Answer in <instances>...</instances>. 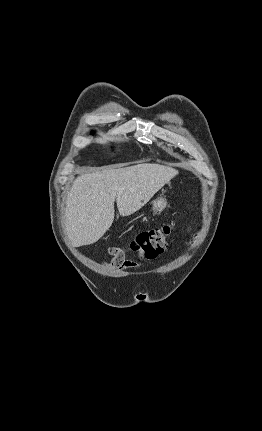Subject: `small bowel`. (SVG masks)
I'll list each match as a JSON object with an SVG mask.
<instances>
[{"mask_svg": "<svg viewBox=\"0 0 262 431\" xmlns=\"http://www.w3.org/2000/svg\"><path fill=\"white\" fill-rule=\"evenodd\" d=\"M187 232L190 233L191 232V228H189L187 230ZM106 265L111 266V267H113V268H115L117 270H121V271H123V270H125V269H127V268H129L131 266L130 264H128L126 262H120L117 259H114V260H112L110 262H106Z\"/></svg>", "mask_w": 262, "mask_h": 431, "instance_id": "obj_1", "label": "small bowel"}]
</instances>
